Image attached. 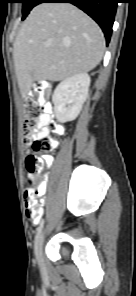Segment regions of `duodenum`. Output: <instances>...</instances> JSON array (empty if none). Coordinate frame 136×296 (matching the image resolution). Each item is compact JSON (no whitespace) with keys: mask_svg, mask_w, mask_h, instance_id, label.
Here are the masks:
<instances>
[{"mask_svg":"<svg viewBox=\"0 0 136 296\" xmlns=\"http://www.w3.org/2000/svg\"><path fill=\"white\" fill-rule=\"evenodd\" d=\"M48 89V83H40L35 88L36 94H44Z\"/></svg>","mask_w":136,"mask_h":296,"instance_id":"duodenum-1","label":"duodenum"}]
</instances>
